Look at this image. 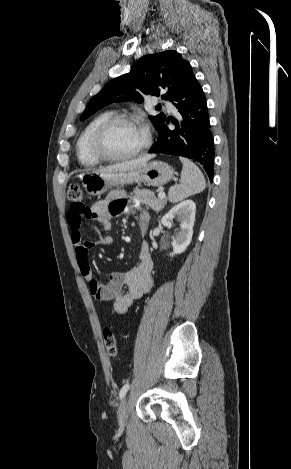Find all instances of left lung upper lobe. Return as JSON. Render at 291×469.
Masks as SVG:
<instances>
[{
	"mask_svg": "<svg viewBox=\"0 0 291 469\" xmlns=\"http://www.w3.org/2000/svg\"><path fill=\"white\" fill-rule=\"evenodd\" d=\"M190 68V63L174 50L145 55L133 64L129 73L111 80L91 99L81 120L117 101L141 102L146 95L160 94L162 99L169 100L183 83ZM149 118L157 130L166 120L163 113Z\"/></svg>",
	"mask_w": 291,
	"mask_h": 469,
	"instance_id": "1",
	"label": "left lung upper lobe"
}]
</instances>
